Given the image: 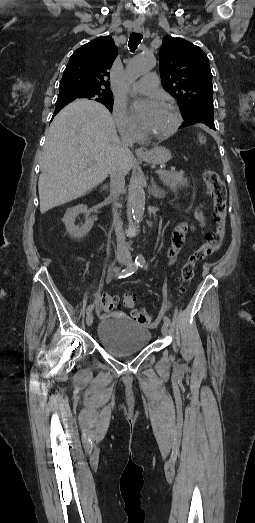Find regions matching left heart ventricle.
<instances>
[{
    "label": "left heart ventricle",
    "instance_id": "obj_1",
    "mask_svg": "<svg viewBox=\"0 0 255 523\" xmlns=\"http://www.w3.org/2000/svg\"><path fill=\"white\" fill-rule=\"evenodd\" d=\"M175 122V112L167 105H159L152 112L148 122L143 127V133L148 138H156L169 132Z\"/></svg>",
    "mask_w": 255,
    "mask_h": 523
}]
</instances>
